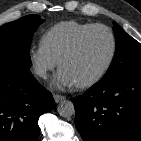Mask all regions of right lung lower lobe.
Listing matches in <instances>:
<instances>
[{
    "label": "right lung lower lobe",
    "mask_w": 141,
    "mask_h": 141,
    "mask_svg": "<svg viewBox=\"0 0 141 141\" xmlns=\"http://www.w3.org/2000/svg\"><path fill=\"white\" fill-rule=\"evenodd\" d=\"M54 107L29 69L0 71V141H37L38 119Z\"/></svg>",
    "instance_id": "obj_1"
}]
</instances>
